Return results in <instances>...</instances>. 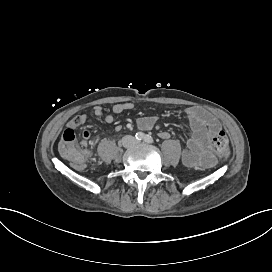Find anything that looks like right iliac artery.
Instances as JSON below:
<instances>
[{"mask_svg": "<svg viewBox=\"0 0 272 272\" xmlns=\"http://www.w3.org/2000/svg\"><path fill=\"white\" fill-rule=\"evenodd\" d=\"M135 138L137 141H142L145 138V134L142 132H138L136 133Z\"/></svg>", "mask_w": 272, "mask_h": 272, "instance_id": "82829eb1", "label": "right iliac artery"}]
</instances>
